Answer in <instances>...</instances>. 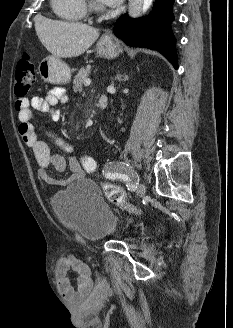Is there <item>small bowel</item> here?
Wrapping results in <instances>:
<instances>
[{
	"instance_id": "c3829d8e",
	"label": "small bowel",
	"mask_w": 233,
	"mask_h": 328,
	"mask_svg": "<svg viewBox=\"0 0 233 328\" xmlns=\"http://www.w3.org/2000/svg\"><path fill=\"white\" fill-rule=\"evenodd\" d=\"M67 101V95L61 87H55L43 97L34 96L32 98L19 97L15 101V110L18 114V132L25 145L33 152L38 163V177L43 182L50 185H67L85 176V170L76 157H71L68 166L72 175L66 180H57L49 173L50 168L62 172L67 167L64 157L52 154L46 143L38 139L32 121L34 110L48 112L54 121L61 117L60 110L53 109L60 103ZM75 275L76 284L73 285L70 279ZM58 288L61 295L71 301H80L88 297L93 290V281L89 267L81 260L69 256L62 258L57 267Z\"/></svg>"
}]
</instances>
